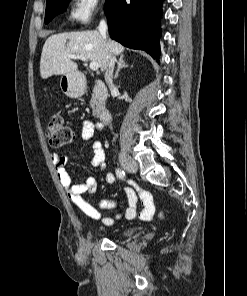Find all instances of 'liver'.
<instances>
[{
	"label": "liver",
	"mask_w": 247,
	"mask_h": 296,
	"mask_svg": "<svg viewBox=\"0 0 247 296\" xmlns=\"http://www.w3.org/2000/svg\"><path fill=\"white\" fill-rule=\"evenodd\" d=\"M124 47L112 40L105 39L97 30L59 33L48 37L44 43L40 59V75L77 73V63L68 54L83 55L86 59L99 64L101 71L107 69L111 55H119Z\"/></svg>",
	"instance_id": "6515ba94"
}]
</instances>
